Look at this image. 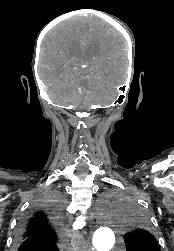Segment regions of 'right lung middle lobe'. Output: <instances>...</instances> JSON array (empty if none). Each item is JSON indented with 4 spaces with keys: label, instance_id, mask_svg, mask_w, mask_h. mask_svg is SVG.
Returning a JSON list of instances; mask_svg holds the SVG:
<instances>
[{
    "label": "right lung middle lobe",
    "instance_id": "1",
    "mask_svg": "<svg viewBox=\"0 0 174 251\" xmlns=\"http://www.w3.org/2000/svg\"><path fill=\"white\" fill-rule=\"evenodd\" d=\"M63 198L59 192H49L42 196L36 203L35 208H47L61 218L63 212Z\"/></svg>",
    "mask_w": 174,
    "mask_h": 251
}]
</instances>
